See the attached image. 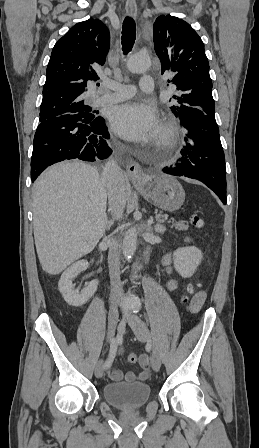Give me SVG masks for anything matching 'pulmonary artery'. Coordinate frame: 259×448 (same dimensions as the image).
<instances>
[{"label": "pulmonary artery", "instance_id": "pulmonary-artery-1", "mask_svg": "<svg viewBox=\"0 0 259 448\" xmlns=\"http://www.w3.org/2000/svg\"><path fill=\"white\" fill-rule=\"evenodd\" d=\"M140 54H130L127 59V66L130 71L134 73H142L145 71L144 68L137 65L134 60L135 58ZM143 55H146L145 53ZM146 79H150L149 76H144ZM102 88H108L110 90L115 91V93H111L109 95L100 96L97 100V103H116L123 101L125 99L130 98L132 95H134L135 90L131 86L123 85L119 82L112 81V80H105L101 83V87L98 88V91L100 92Z\"/></svg>", "mask_w": 259, "mask_h": 448}]
</instances>
